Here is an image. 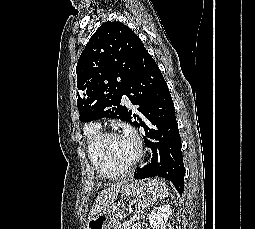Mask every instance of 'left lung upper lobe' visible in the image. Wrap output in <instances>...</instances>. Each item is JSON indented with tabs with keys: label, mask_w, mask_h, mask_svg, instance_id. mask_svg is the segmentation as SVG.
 Listing matches in <instances>:
<instances>
[{
	"label": "left lung upper lobe",
	"mask_w": 255,
	"mask_h": 229,
	"mask_svg": "<svg viewBox=\"0 0 255 229\" xmlns=\"http://www.w3.org/2000/svg\"><path fill=\"white\" fill-rule=\"evenodd\" d=\"M144 50L140 38L121 22L108 21L97 29L76 67L80 121H127L128 110L120 102Z\"/></svg>",
	"instance_id": "5c2ea615"
}]
</instances>
